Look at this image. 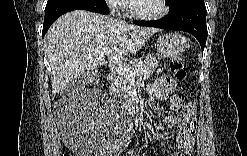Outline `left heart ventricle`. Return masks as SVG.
I'll return each instance as SVG.
<instances>
[{
	"mask_svg": "<svg viewBox=\"0 0 247 156\" xmlns=\"http://www.w3.org/2000/svg\"><path fill=\"white\" fill-rule=\"evenodd\" d=\"M134 6L136 11L140 14H153L160 9L158 0L134 1Z\"/></svg>",
	"mask_w": 247,
	"mask_h": 156,
	"instance_id": "obj_1",
	"label": "left heart ventricle"
}]
</instances>
